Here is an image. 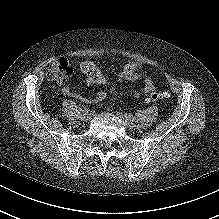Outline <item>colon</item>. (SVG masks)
Returning <instances> with one entry per match:
<instances>
[{"mask_svg":"<svg viewBox=\"0 0 219 219\" xmlns=\"http://www.w3.org/2000/svg\"><path fill=\"white\" fill-rule=\"evenodd\" d=\"M138 65L134 63H128L123 68V75L125 77H130L138 71ZM72 74V67L69 60L66 57H59L53 61L51 66L47 70V78L51 81H62L63 79L69 77ZM99 80L104 82L106 80L104 75L99 77ZM168 97L165 91H153L147 96L148 101H162Z\"/></svg>","mask_w":219,"mask_h":219,"instance_id":"1","label":"colon"}]
</instances>
